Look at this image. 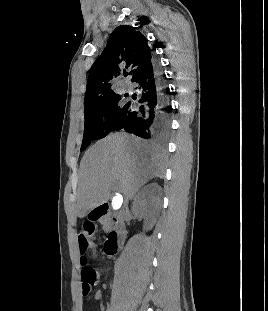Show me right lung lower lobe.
I'll list each match as a JSON object with an SVG mask.
<instances>
[{
    "label": "right lung lower lobe",
    "mask_w": 268,
    "mask_h": 311,
    "mask_svg": "<svg viewBox=\"0 0 268 311\" xmlns=\"http://www.w3.org/2000/svg\"><path fill=\"white\" fill-rule=\"evenodd\" d=\"M139 100L126 102L112 130L124 129L144 139L164 141L171 130V105L155 59L132 81Z\"/></svg>",
    "instance_id": "98d812e1"
}]
</instances>
